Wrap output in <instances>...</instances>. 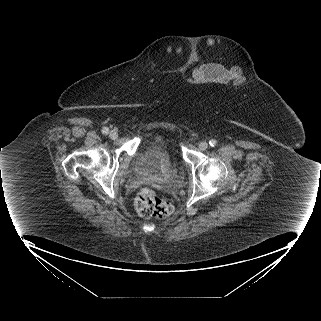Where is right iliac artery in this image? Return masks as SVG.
Returning <instances> with one entry per match:
<instances>
[{
  "label": "right iliac artery",
  "instance_id": "right-iliac-artery-1",
  "mask_svg": "<svg viewBox=\"0 0 321 321\" xmlns=\"http://www.w3.org/2000/svg\"><path fill=\"white\" fill-rule=\"evenodd\" d=\"M102 132H103V134H108L109 129H108L107 127H104V128L102 129Z\"/></svg>",
  "mask_w": 321,
  "mask_h": 321
}]
</instances>
